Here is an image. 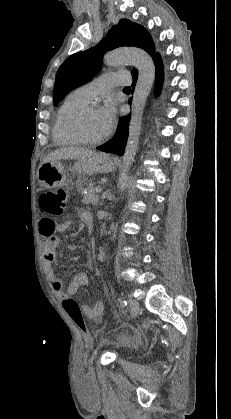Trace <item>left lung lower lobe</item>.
<instances>
[{"label":"left lung lower lobe","instance_id":"left-lung-lower-lobe-1","mask_svg":"<svg viewBox=\"0 0 231 419\" xmlns=\"http://www.w3.org/2000/svg\"><path fill=\"white\" fill-rule=\"evenodd\" d=\"M153 61L156 67V94H158L160 91L162 82H163V75H164L163 64H162V60L159 53L155 55V57L153 58ZM132 76H133L132 86L134 87L137 81L138 74L135 73V74H132ZM131 100L132 98H130L129 104H131ZM129 120H130V114L122 117L119 120V126H118V130L115 136L104 145L97 147V149L104 152H111V153L122 155L125 149L127 138H128Z\"/></svg>","mask_w":231,"mask_h":419}]
</instances>
